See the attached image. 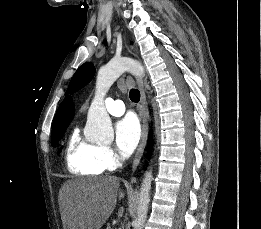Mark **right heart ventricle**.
Masks as SVG:
<instances>
[{
	"mask_svg": "<svg viewBox=\"0 0 261 229\" xmlns=\"http://www.w3.org/2000/svg\"><path fill=\"white\" fill-rule=\"evenodd\" d=\"M100 145L88 141L75 131L66 144L65 160L70 172L77 175H97L101 173L98 164Z\"/></svg>",
	"mask_w": 261,
	"mask_h": 229,
	"instance_id": "e07e8e85",
	"label": "right heart ventricle"
}]
</instances>
